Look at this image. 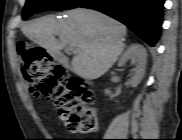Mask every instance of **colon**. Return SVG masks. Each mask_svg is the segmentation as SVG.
Here are the masks:
<instances>
[{
	"label": "colon",
	"instance_id": "colon-1",
	"mask_svg": "<svg viewBox=\"0 0 182 140\" xmlns=\"http://www.w3.org/2000/svg\"><path fill=\"white\" fill-rule=\"evenodd\" d=\"M21 70L30 91L49 100L71 132L89 134L97 127V114L90 104L94 97L86 83L57 65L44 50L28 41L17 43Z\"/></svg>",
	"mask_w": 182,
	"mask_h": 140
}]
</instances>
